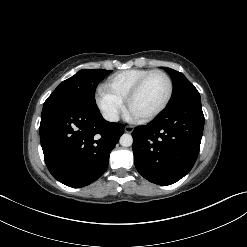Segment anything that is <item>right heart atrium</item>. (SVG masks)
<instances>
[{
  "mask_svg": "<svg viewBox=\"0 0 247 247\" xmlns=\"http://www.w3.org/2000/svg\"><path fill=\"white\" fill-rule=\"evenodd\" d=\"M96 103L103 116L110 122H116L124 110V103L105 87L98 90Z\"/></svg>",
  "mask_w": 247,
  "mask_h": 247,
  "instance_id": "1",
  "label": "right heart atrium"
}]
</instances>
